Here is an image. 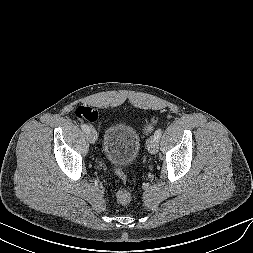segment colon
<instances>
[{"label": "colon", "instance_id": "colon-1", "mask_svg": "<svg viewBox=\"0 0 253 253\" xmlns=\"http://www.w3.org/2000/svg\"><path fill=\"white\" fill-rule=\"evenodd\" d=\"M76 116L84 121H93L96 116V111L90 107L81 106L77 108ZM156 122L157 119L155 117L151 118L144 127L145 132L150 133L153 130ZM116 174L123 182H126L127 176L121 168L116 169ZM116 199L121 205L129 206L134 202V195L129 188L120 187L116 192Z\"/></svg>", "mask_w": 253, "mask_h": 253}]
</instances>
